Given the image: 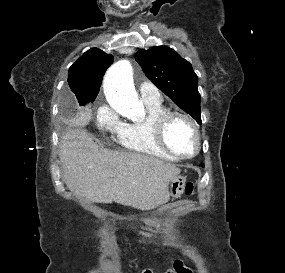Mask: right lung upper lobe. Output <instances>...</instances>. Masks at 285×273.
Listing matches in <instances>:
<instances>
[{
    "label": "right lung upper lobe",
    "instance_id": "1",
    "mask_svg": "<svg viewBox=\"0 0 285 273\" xmlns=\"http://www.w3.org/2000/svg\"><path fill=\"white\" fill-rule=\"evenodd\" d=\"M112 63V55L98 48H92L70 67L68 84L80 105H86L95 100L103 74Z\"/></svg>",
    "mask_w": 285,
    "mask_h": 273
}]
</instances>
